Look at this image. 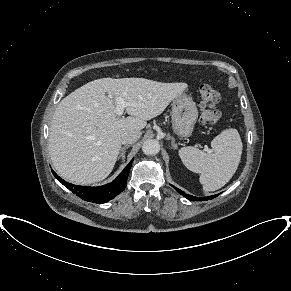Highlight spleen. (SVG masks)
<instances>
[{
    "instance_id": "obj_1",
    "label": "spleen",
    "mask_w": 291,
    "mask_h": 291,
    "mask_svg": "<svg viewBox=\"0 0 291 291\" xmlns=\"http://www.w3.org/2000/svg\"><path fill=\"white\" fill-rule=\"evenodd\" d=\"M213 153L195 147H183L179 156L183 164L200 174L203 190L215 191L223 187L236 172L242 154V141L236 129L226 128L211 142Z\"/></svg>"
}]
</instances>
